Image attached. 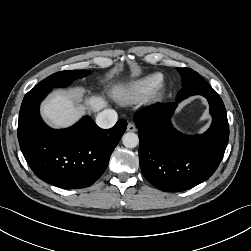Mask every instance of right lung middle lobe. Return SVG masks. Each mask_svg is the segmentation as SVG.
Here are the masks:
<instances>
[{
    "mask_svg": "<svg viewBox=\"0 0 251 251\" xmlns=\"http://www.w3.org/2000/svg\"><path fill=\"white\" fill-rule=\"evenodd\" d=\"M90 71L87 70H70L61 71L45 78L34 88L36 89H52L58 87H66L72 83L73 80L87 76Z\"/></svg>",
    "mask_w": 251,
    "mask_h": 251,
    "instance_id": "dd1d6c3e",
    "label": "right lung middle lobe"
}]
</instances>
